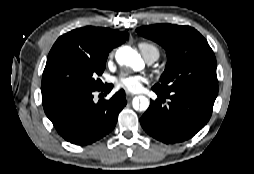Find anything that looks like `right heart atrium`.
<instances>
[{
	"label": "right heart atrium",
	"instance_id": "1",
	"mask_svg": "<svg viewBox=\"0 0 254 174\" xmlns=\"http://www.w3.org/2000/svg\"><path fill=\"white\" fill-rule=\"evenodd\" d=\"M113 55H114V51H111V52L109 53V58H112Z\"/></svg>",
	"mask_w": 254,
	"mask_h": 174
}]
</instances>
